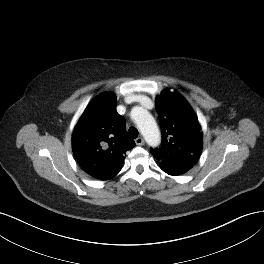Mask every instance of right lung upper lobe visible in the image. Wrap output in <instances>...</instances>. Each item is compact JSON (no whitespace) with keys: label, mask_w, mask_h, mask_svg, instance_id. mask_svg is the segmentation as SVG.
I'll return each mask as SVG.
<instances>
[{"label":"right lung upper lobe","mask_w":264,"mask_h":264,"mask_svg":"<svg viewBox=\"0 0 264 264\" xmlns=\"http://www.w3.org/2000/svg\"><path fill=\"white\" fill-rule=\"evenodd\" d=\"M135 142L125 130V118L116 111V96L96 97L80 117L72 136L75 158L89 175L108 180L121 170L126 151Z\"/></svg>","instance_id":"obj_1"}]
</instances>
